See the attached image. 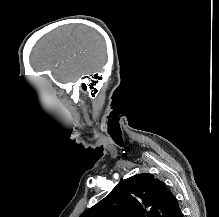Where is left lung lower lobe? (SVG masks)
<instances>
[{"label":"left lung lower lobe","instance_id":"left-lung-lower-lobe-1","mask_svg":"<svg viewBox=\"0 0 219 217\" xmlns=\"http://www.w3.org/2000/svg\"><path fill=\"white\" fill-rule=\"evenodd\" d=\"M176 217H183L181 210H180L179 213L176 215Z\"/></svg>","mask_w":219,"mask_h":217}]
</instances>
